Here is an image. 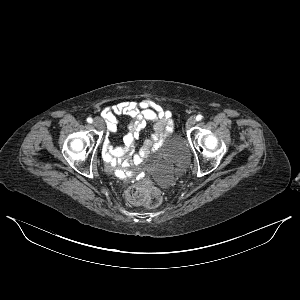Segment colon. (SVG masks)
I'll list each match as a JSON object with an SVG mask.
<instances>
[{
    "label": "colon",
    "instance_id": "1",
    "mask_svg": "<svg viewBox=\"0 0 300 300\" xmlns=\"http://www.w3.org/2000/svg\"><path fill=\"white\" fill-rule=\"evenodd\" d=\"M126 196L131 203L147 208H156L162 202L161 193L150 180H144L130 186Z\"/></svg>",
    "mask_w": 300,
    "mask_h": 300
}]
</instances>
